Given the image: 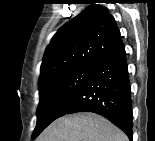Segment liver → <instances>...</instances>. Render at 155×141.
Masks as SVG:
<instances>
[{
    "mask_svg": "<svg viewBox=\"0 0 155 141\" xmlns=\"http://www.w3.org/2000/svg\"><path fill=\"white\" fill-rule=\"evenodd\" d=\"M39 141H128V138L100 115L77 113L56 119Z\"/></svg>",
    "mask_w": 155,
    "mask_h": 141,
    "instance_id": "liver-1",
    "label": "liver"
}]
</instances>
